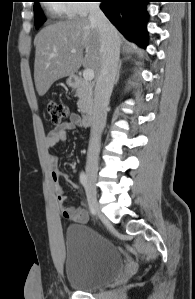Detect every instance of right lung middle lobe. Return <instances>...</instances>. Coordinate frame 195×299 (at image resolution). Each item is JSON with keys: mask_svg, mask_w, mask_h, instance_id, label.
<instances>
[{"mask_svg": "<svg viewBox=\"0 0 195 299\" xmlns=\"http://www.w3.org/2000/svg\"><path fill=\"white\" fill-rule=\"evenodd\" d=\"M34 19H35V27H38L45 21V17L39 6V0L34 1Z\"/></svg>", "mask_w": 195, "mask_h": 299, "instance_id": "dd1d6c3e", "label": "right lung middle lobe"}]
</instances>
